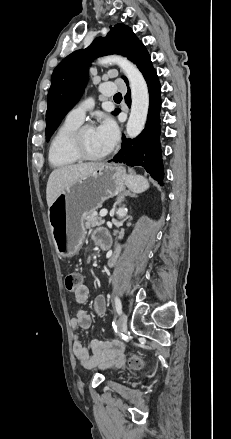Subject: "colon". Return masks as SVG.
Wrapping results in <instances>:
<instances>
[{"label": "colon", "instance_id": "5ec220e1", "mask_svg": "<svg viewBox=\"0 0 231 439\" xmlns=\"http://www.w3.org/2000/svg\"><path fill=\"white\" fill-rule=\"evenodd\" d=\"M78 283H86L83 277V271L79 269L67 270L65 286L68 290H70L71 295H76L75 288L78 286ZM127 364L134 370L141 369L144 366L142 354L136 353L131 355L127 360Z\"/></svg>", "mask_w": 231, "mask_h": 439}]
</instances>
